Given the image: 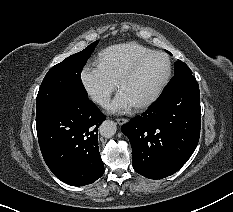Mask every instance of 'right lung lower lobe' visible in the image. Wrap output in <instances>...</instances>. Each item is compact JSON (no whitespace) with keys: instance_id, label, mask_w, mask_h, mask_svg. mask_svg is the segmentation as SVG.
<instances>
[{"instance_id":"98d812e1","label":"right lung lower lobe","mask_w":233,"mask_h":212,"mask_svg":"<svg viewBox=\"0 0 233 212\" xmlns=\"http://www.w3.org/2000/svg\"><path fill=\"white\" fill-rule=\"evenodd\" d=\"M105 118L88 98H73L36 120L43 158L61 181L83 186L103 175L98 127Z\"/></svg>"}]
</instances>
